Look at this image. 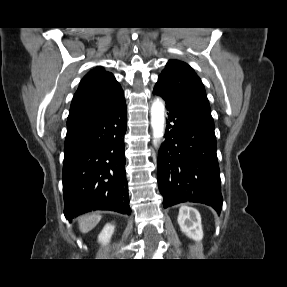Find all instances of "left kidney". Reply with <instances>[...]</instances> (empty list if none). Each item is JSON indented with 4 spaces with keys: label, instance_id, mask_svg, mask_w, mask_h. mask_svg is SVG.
Returning a JSON list of instances; mask_svg holds the SVG:
<instances>
[{
    "label": "left kidney",
    "instance_id": "5707ae66",
    "mask_svg": "<svg viewBox=\"0 0 287 287\" xmlns=\"http://www.w3.org/2000/svg\"><path fill=\"white\" fill-rule=\"evenodd\" d=\"M178 224L186 236L196 241L202 240L201 216L196 209L182 206L179 209Z\"/></svg>",
    "mask_w": 287,
    "mask_h": 287
}]
</instances>
